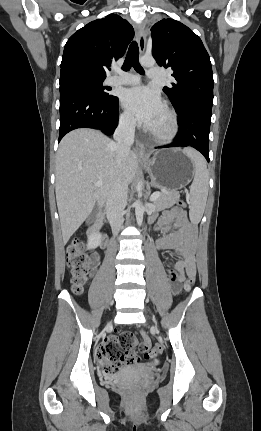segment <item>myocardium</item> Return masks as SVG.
<instances>
[{
    "label": "myocardium",
    "mask_w": 261,
    "mask_h": 431,
    "mask_svg": "<svg viewBox=\"0 0 261 431\" xmlns=\"http://www.w3.org/2000/svg\"><path fill=\"white\" fill-rule=\"evenodd\" d=\"M164 112L169 121L168 129L164 132H159L151 128L148 129V133L152 139L162 144L173 141L179 130V123L176 113L169 107H165Z\"/></svg>",
    "instance_id": "obj_1"
}]
</instances>
